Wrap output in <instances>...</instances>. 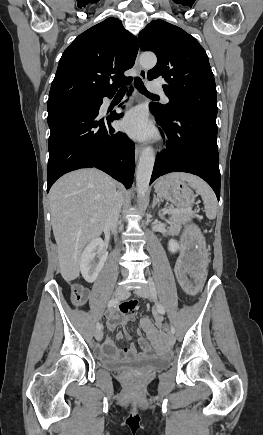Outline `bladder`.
I'll return each mask as SVG.
<instances>
[{
	"mask_svg": "<svg viewBox=\"0 0 263 435\" xmlns=\"http://www.w3.org/2000/svg\"><path fill=\"white\" fill-rule=\"evenodd\" d=\"M169 358L164 356H148L134 360H110L104 361L102 366L108 370H123L134 367L145 370H158L166 367Z\"/></svg>",
	"mask_w": 263,
	"mask_h": 435,
	"instance_id": "bladder-1",
	"label": "bladder"
}]
</instances>
